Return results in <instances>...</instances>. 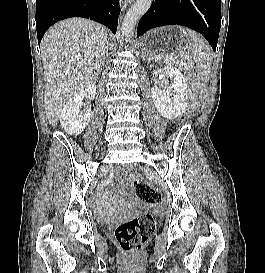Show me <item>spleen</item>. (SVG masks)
Masks as SVG:
<instances>
[{"label":"spleen","mask_w":265,"mask_h":273,"mask_svg":"<svg viewBox=\"0 0 265 273\" xmlns=\"http://www.w3.org/2000/svg\"><path fill=\"white\" fill-rule=\"evenodd\" d=\"M179 32L181 36H185L187 38L199 79L203 82L208 81L212 64L211 49L209 44L204 38L194 31L180 27Z\"/></svg>","instance_id":"spleen-1"}]
</instances>
